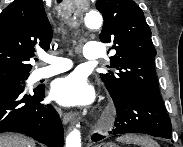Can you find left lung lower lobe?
I'll use <instances>...</instances> for the list:
<instances>
[{
    "label": "left lung lower lobe",
    "instance_id": "0a47b994",
    "mask_svg": "<svg viewBox=\"0 0 183 147\" xmlns=\"http://www.w3.org/2000/svg\"><path fill=\"white\" fill-rule=\"evenodd\" d=\"M117 117L113 134L143 133L155 137H172L171 121L161 95L157 92L134 89L114 101ZM104 136L94 134L93 141Z\"/></svg>",
    "mask_w": 183,
    "mask_h": 147
}]
</instances>
